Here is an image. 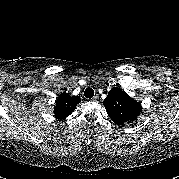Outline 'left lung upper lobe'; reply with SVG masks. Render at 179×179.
<instances>
[{
    "mask_svg": "<svg viewBox=\"0 0 179 179\" xmlns=\"http://www.w3.org/2000/svg\"><path fill=\"white\" fill-rule=\"evenodd\" d=\"M103 104L111 120L122 126L137 121L142 108L139 102L118 87L108 92Z\"/></svg>",
    "mask_w": 179,
    "mask_h": 179,
    "instance_id": "obj_1",
    "label": "left lung upper lobe"
}]
</instances>
